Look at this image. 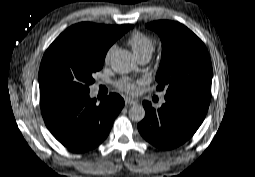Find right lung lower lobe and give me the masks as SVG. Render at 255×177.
<instances>
[{"mask_svg":"<svg viewBox=\"0 0 255 177\" xmlns=\"http://www.w3.org/2000/svg\"><path fill=\"white\" fill-rule=\"evenodd\" d=\"M46 126L64 146L84 152L97 147L109 134L113 121L124 106L111 93L96 104L87 92H54L40 95Z\"/></svg>","mask_w":255,"mask_h":177,"instance_id":"98d812e1","label":"right lung lower lobe"}]
</instances>
